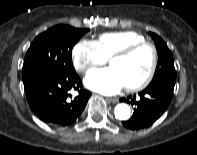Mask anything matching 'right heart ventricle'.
Returning <instances> with one entry per match:
<instances>
[{
    "label": "right heart ventricle",
    "mask_w": 197,
    "mask_h": 155,
    "mask_svg": "<svg viewBox=\"0 0 197 155\" xmlns=\"http://www.w3.org/2000/svg\"><path fill=\"white\" fill-rule=\"evenodd\" d=\"M143 41H146L145 37L132 30L105 32L97 39V43L107 58L125 46Z\"/></svg>",
    "instance_id": "1"
}]
</instances>
